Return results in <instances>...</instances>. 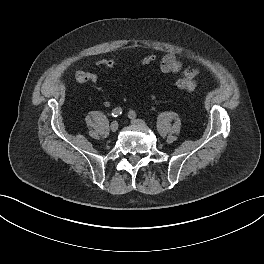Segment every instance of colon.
Wrapping results in <instances>:
<instances>
[{
	"label": "colon",
	"mask_w": 264,
	"mask_h": 264,
	"mask_svg": "<svg viewBox=\"0 0 264 264\" xmlns=\"http://www.w3.org/2000/svg\"><path fill=\"white\" fill-rule=\"evenodd\" d=\"M156 59V56L154 54H148L145 57L142 58V64L143 65H149L153 63ZM101 64L106 68H112L115 64V60L113 58L107 57L101 60ZM175 87L179 90H186V91H192L195 88L194 81L190 78L187 71H184L183 77L178 78L175 81Z\"/></svg>",
	"instance_id": "obj_1"
}]
</instances>
